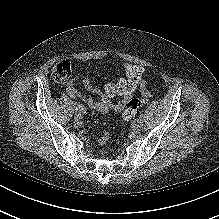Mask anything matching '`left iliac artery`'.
Instances as JSON below:
<instances>
[{"label":"left iliac artery","instance_id":"obj_1","mask_svg":"<svg viewBox=\"0 0 219 219\" xmlns=\"http://www.w3.org/2000/svg\"><path fill=\"white\" fill-rule=\"evenodd\" d=\"M139 118H144V115H143V114H141V115L139 116Z\"/></svg>","mask_w":219,"mask_h":219}]
</instances>
